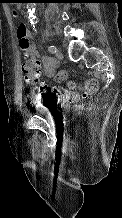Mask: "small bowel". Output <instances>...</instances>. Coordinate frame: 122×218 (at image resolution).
<instances>
[{
  "label": "small bowel",
  "mask_w": 122,
  "mask_h": 218,
  "mask_svg": "<svg viewBox=\"0 0 122 218\" xmlns=\"http://www.w3.org/2000/svg\"><path fill=\"white\" fill-rule=\"evenodd\" d=\"M32 50V57L40 63V68L43 67L44 73L48 78H56L58 80L65 79V75L63 73L56 74L55 68L57 66L56 62L50 58L40 56L38 53L34 51V45L31 47ZM36 77H39V72L37 73Z\"/></svg>",
  "instance_id": "1"
}]
</instances>
